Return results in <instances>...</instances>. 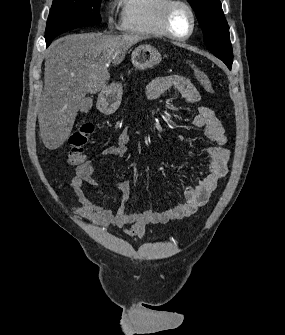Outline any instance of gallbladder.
I'll return each mask as SVG.
<instances>
[{
	"label": "gallbladder",
	"mask_w": 285,
	"mask_h": 335,
	"mask_svg": "<svg viewBox=\"0 0 285 335\" xmlns=\"http://www.w3.org/2000/svg\"><path fill=\"white\" fill-rule=\"evenodd\" d=\"M93 106L92 98H84L83 102H81L80 112H89Z\"/></svg>",
	"instance_id": "1"
}]
</instances>
